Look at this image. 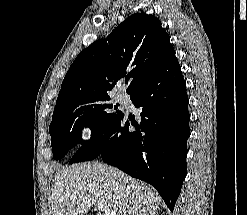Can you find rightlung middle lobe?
Instances as JSON below:
<instances>
[{"label": "right lung middle lobe", "instance_id": "1", "mask_svg": "<svg viewBox=\"0 0 247 215\" xmlns=\"http://www.w3.org/2000/svg\"><path fill=\"white\" fill-rule=\"evenodd\" d=\"M109 95H100L64 107L53 113L49 126L53 158L59 160L78 144H82L81 131L91 129V138L103 133L121 114L112 109Z\"/></svg>", "mask_w": 247, "mask_h": 215}]
</instances>
